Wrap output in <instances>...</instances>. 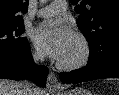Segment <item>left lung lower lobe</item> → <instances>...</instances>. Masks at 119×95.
I'll return each instance as SVG.
<instances>
[{"label":"left lung lower lobe","instance_id":"0a47b994","mask_svg":"<svg viewBox=\"0 0 119 95\" xmlns=\"http://www.w3.org/2000/svg\"><path fill=\"white\" fill-rule=\"evenodd\" d=\"M63 83H79L103 78H119V49L110 53L102 62H97L89 56L87 65L83 68L60 73Z\"/></svg>","mask_w":119,"mask_h":95}]
</instances>
